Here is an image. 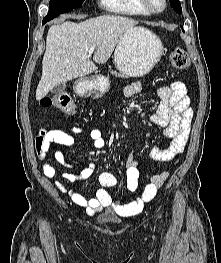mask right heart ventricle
<instances>
[{"label":"right heart ventricle","mask_w":221,"mask_h":263,"mask_svg":"<svg viewBox=\"0 0 221 263\" xmlns=\"http://www.w3.org/2000/svg\"><path fill=\"white\" fill-rule=\"evenodd\" d=\"M101 5L109 12L131 16H146L149 12L141 0H100Z\"/></svg>","instance_id":"e07e8e85"}]
</instances>
